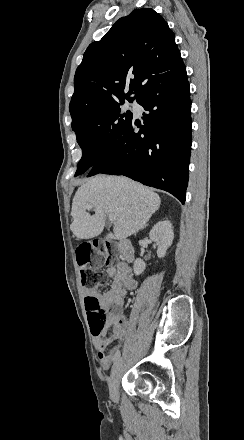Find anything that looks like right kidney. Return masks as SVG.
Here are the masks:
<instances>
[{"instance_id": "1", "label": "right kidney", "mask_w": 244, "mask_h": 440, "mask_svg": "<svg viewBox=\"0 0 244 440\" xmlns=\"http://www.w3.org/2000/svg\"><path fill=\"white\" fill-rule=\"evenodd\" d=\"M151 240L156 242L158 246L157 256L158 258H164L169 246H171L174 240V232L171 222L164 220V222H157L151 232H149ZM146 268L145 262L141 258H137L134 262L133 270L136 276H140Z\"/></svg>"}]
</instances>
